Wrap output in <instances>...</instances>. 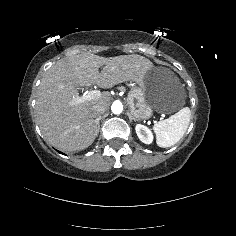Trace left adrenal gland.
Listing matches in <instances>:
<instances>
[{
	"instance_id": "left-adrenal-gland-1",
	"label": "left adrenal gland",
	"mask_w": 236,
	"mask_h": 236,
	"mask_svg": "<svg viewBox=\"0 0 236 236\" xmlns=\"http://www.w3.org/2000/svg\"><path fill=\"white\" fill-rule=\"evenodd\" d=\"M127 115H128V117H129V120H130V121H132V120L136 121V119L131 115L130 112H127Z\"/></svg>"
}]
</instances>
